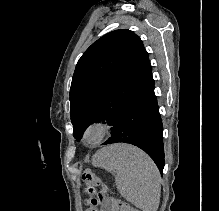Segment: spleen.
<instances>
[{"instance_id": "obj_1", "label": "spleen", "mask_w": 219, "mask_h": 211, "mask_svg": "<svg viewBox=\"0 0 219 211\" xmlns=\"http://www.w3.org/2000/svg\"><path fill=\"white\" fill-rule=\"evenodd\" d=\"M92 165L115 175L119 193L142 211H157L160 203V173L153 159L130 143H115L97 149Z\"/></svg>"}]
</instances>
